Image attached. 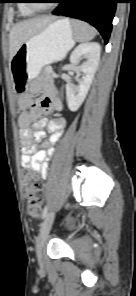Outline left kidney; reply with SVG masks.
<instances>
[{"instance_id":"5707ae66","label":"left kidney","mask_w":136,"mask_h":296,"mask_svg":"<svg viewBox=\"0 0 136 296\" xmlns=\"http://www.w3.org/2000/svg\"><path fill=\"white\" fill-rule=\"evenodd\" d=\"M101 46L96 42H85L79 44L70 55V62L75 64L81 57L86 61L80 67L83 73L82 78L78 81L79 86L73 88L70 84L66 85L67 104L70 111L75 112L82 105L94 78L100 60ZM71 74V72H69Z\"/></svg>"}]
</instances>
